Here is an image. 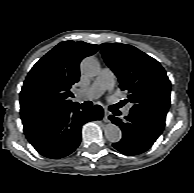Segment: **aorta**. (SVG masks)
<instances>
[{
  "label": "aorta",
  "instance_id": "762f6f07",
  "mask_svg": "<svg viewBox=\"0 0 194 193\" xmlns=\"http://www.w3.org/2000/svg\"><path fill=\"white\" fill-rule=\"evenodd\" d=\"M81 71L88 77H94L100 71V64L94 57H87L81 62ZM104 134L106 139L112 143H117L122 138L120 128L113 123L105 126Z\"/></svg>",
  "mask_w": 194,
  "mask_h": 193
}]
</instances>
